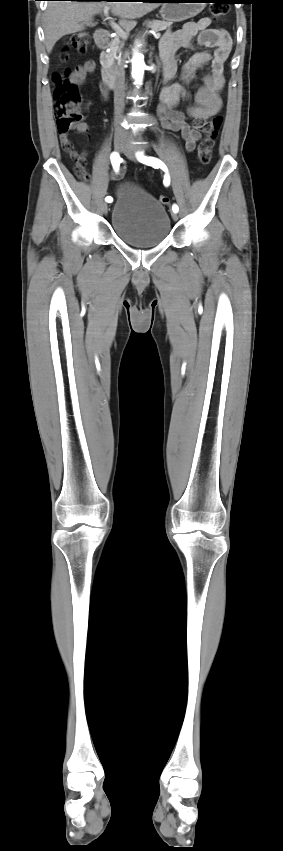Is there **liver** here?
I'll return each mask as SVG.
<instances>
[{"label":"liver","mask_w":283,"mask_h":851,"mask_svg":"<svg viewBox=\"0 0 283 851\" xmlns=\"http://www.w3.org/2000/svg\"><path fill=\"white\" fill-rule=\"evenodd\" d=\"M159 5L157 2L49 1L43 16L46 50L50 53L63 36L93 25V16L105 7L121 18L119 24L128 32L136 25L134 19L146 15Z\"/></svg>","instance_id":"1"}]
</instances>
